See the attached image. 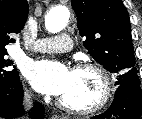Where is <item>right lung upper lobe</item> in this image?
I'll list each match as a JSON object with an SVG mask.
<instances>
[{"label": "right lung upper lobe", "instance_id": "1", "mask_svg": "<svg viewBox=\"0 0 142 119\" xmlns=\"http://www.w3.org/2000/svg\"><path fill=\"white\" fill-rule=\"evenodd\" d=\"M27 0H0V51L14 42L10 34H18L28 17Z\"/></svg>", "mask_w": 142, "mask_h": 119}]
</instances>
